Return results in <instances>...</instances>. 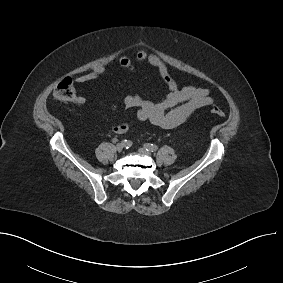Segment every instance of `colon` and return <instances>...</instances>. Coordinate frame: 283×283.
I'll return each instance as SVG.
<instances>
[{
  "mask_svg": "<svg viewBox=\"0 0 283 283\" xmlns=\"http://www.w3.org/2000/svg\"><path fill=\"white\" fill-rule=\"evenodd\" d=\"M55 100L63 103L70 102L75 97V88L70 78H65L58 83L53 91ZM211 113L219 118L224 117V111L217 106L211 107Z\"/></svg>",
  "mask_w": 283,
  "mask_h": 283,
  "instance_id": "obj_1",
  "label": "colon"
}]
</instances>
